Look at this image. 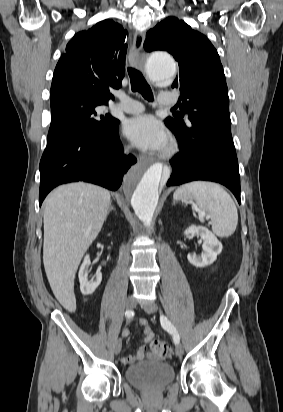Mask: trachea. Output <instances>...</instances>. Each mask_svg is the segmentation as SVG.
<instances>
[{
	"mask_svg": "<svg viewBox=\"0 0 283 412\" xmlns=\"http://www.w3.org/2000/svg\"><path fill=\"white\" fill-rule=\"evenodd\" d=\"M128 74L133 92H139L146 100L153 101V93L142 73L134 68H128Z\"/></svg>",
	"mask_w": 283,
	"mask_h": 412,
	"instance_id": "1",
	"label": "trachea"
}]
</instances>
